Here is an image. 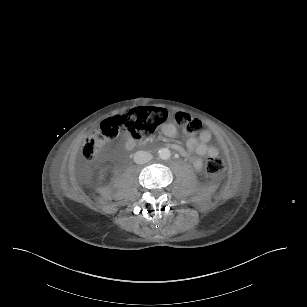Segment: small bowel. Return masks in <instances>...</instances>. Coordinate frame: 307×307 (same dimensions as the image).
Wrapping results in <instances>:
<instances>
[{
    "mask_svg": "<svg viewBox=\"0 0 307 307\" xmlns=\"http://www.w3.org/2000/svg\"><path fill=\"white\" fill-rule=\"evenodd\" d=\"M162 132L167 137H174L176 135V128L172 124H164L162 126ZM212 135L209 131H202L198 137H190L186 142V146L189 152L196 153L200 156H214L218 155L219 150L214 146H210ZM128 146L132 147L135 141L132 138L127 140ZM172 148L178 151L183 156H188V153L178 144H173ZM192 164L195 169L200 170L203 166L202 160L199 158H192Z\"/></svg>",
    "mask_w": 307,
    "mask_h": 307,
    "instance_id": "c3829d8e",
    "label": "small bowel"
}]
</instances>
